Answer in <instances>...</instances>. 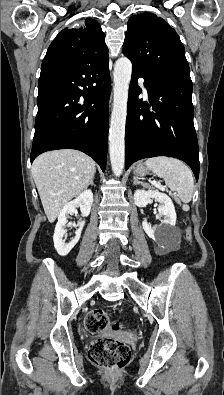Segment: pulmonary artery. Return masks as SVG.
<instances>
[{
  "label": "pulmonary artery",
  "instance_id": "obj_1",
  "mask_svg": "<svg viewBox=\"0 0 224 395\" xmlns=\"http://www.w3.org/2000/svg\"><path fill=\"white\" fill-rule=\"evenodd\" d=\"M140 82H141V84H142V86H143L144 92L147 93V90H146V88H145L144 85H143V80L141 79Z\"/></svg>",
  "mask_w": 224,
  "mask_h": 395
}]
</instances>
